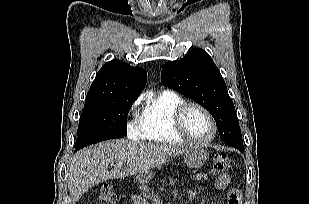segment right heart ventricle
Here are the masks:
<instances>
[{"label": "right heart ventricle", "instance_id": "1", "mask_svg": "<svg viewBox=\"0 0 309 204\" xmlns=\"http://www.w3.org/2000/svg\"><path fill=\"white\" fill-rule=\"evenodd\" d=\"M185 100L172 91L151 96L136 121L138 137L154 143L181 144L185 140L174 130L172 117Z\"/></svg>", "mask_w": 309, "mask_h": 204}]
</instances>
